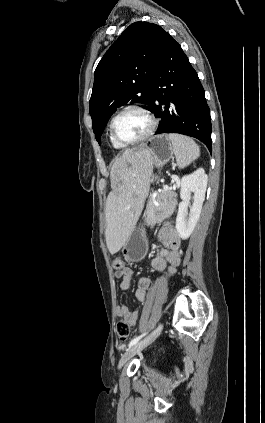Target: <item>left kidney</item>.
<instances>
[{
	"instance_id": "left-kidney-1",
	"label": "left kidney",
	"mask_w": 265,
	"mask_h": 423,
	"mask_svg": "<svg viewBox=\"0 0 265 423\" xmlns=\"http://www.w3.org/2000/svg\"><path fill=\"white\" fill-rule=\"evenodd\" d=\"M207 181L208 177L202 168L192 174L183 176L181 179L180 198L182 201L178 207L176 230L183 240L190 237L199 220L205 199ZM192 193L193 203L190 206ZM188 208H190L189 212Z\"/></svg>"
}]
</instances>
